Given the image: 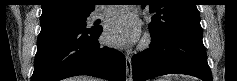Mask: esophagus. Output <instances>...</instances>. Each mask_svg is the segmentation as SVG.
<instances>
[{
	"instance_id": "34e87169",
	"label": "esophagus",
	"mask_w": 237,
	"mask_h": 81,
	"mask_svg": "<svg viewBox=\"0 0 237 81\" xmlns=\"http://www.w3.org/2000/svg\"><path fill=\"white\" fill-rule=\"evenodd\" d=\"M125 62L127 71V81H132V64H131V56L129 54H126Z\"/></svg>"
}]
</instances>
